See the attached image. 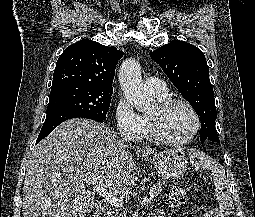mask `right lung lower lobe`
I'll return each instance as SVG.
<instances>
[{
	"instance_id": "1",
	"label": "right lung lower lobe",
	"mask_w": 255,
	"mask_h": 217,
	"mask_svg": "<svg viewBox=\"0 0 255 217\" xmlns=\"http://www.w3.org/2000/svg\"><path fill=\"white\" fill-rule=\"evenodd\" d=\"M71 118H87V119H92L98 122H102V120H99L96 117L84 112L72 111V110H66V109H56V110L47 112L45 122L39 133L36 144L40 142L43 138H45L48 134H50L59 124Z\"/></svg>"
}]
</instances>
